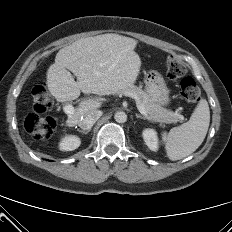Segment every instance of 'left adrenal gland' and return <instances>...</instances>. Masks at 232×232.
<instances>
[{"mask_svg":"<svg viewBox=\"0 0 232 232\" xmlns=\"http://www.w3.org/2000/svg\"><path fill=\"white\" fill-rule=\"evenodd\" d=\"M136 118H140V119H143V120H146V118L144 116H141L140 114H135Z\"/></svg>","mask_w":232,"mask_h":232,"instance_id":"left-adrenal-gland-1","label":"left adrenal gland"}]
</instances>
